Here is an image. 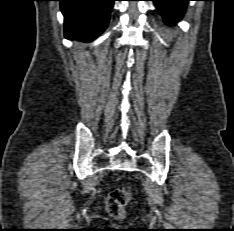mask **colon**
Masks as SVG:
<instances>
[{
	"instance_id": "obj_1",
	"label": "colon",
	"mask_w": 234,
	"mask_h": 231,
	"mask_svg": "<svg viewBox=\"0 0 234 231\" xmlns=\"http://www.w3.org/2000/svg\"><path fill=\"white\" fill-rule=\"evenodd\" d=\"M130 200V192L126 189H114L107 199V210L109 214L116 218H122L124 209Z\"/></svg>"
}]
</instances>
